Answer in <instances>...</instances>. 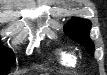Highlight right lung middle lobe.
Instances as JSON below:
<instances>
[{"mask_svg": "<svg viewBox=\"0 0 107 75\" xmlns=\"http://www.w3.org/2000/svg\"><path fill=\"white\" fill-rule=\"evenodd\" d=\"M15 55L12 50L0 47V74L7 72L14 65Z\"/></svg>", "mask_w": 107, "mask_h": 75, "instance_id": "1", "label": "right lung middle lobe"}]
</instances>
